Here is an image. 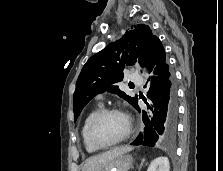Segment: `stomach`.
Returning a JSON list of instances; mask_svg holds the SVG:
<instances>
[{
	"mask_svg": "<svg viewBox=\"0 0 223 171\" xmlns=\"http://www.w3.org/2000/svg\"><path fill=\"white\" fill-rule=\"evenodd\" d=\"M132 162V156L124 153L117 156L112 162L103 167L100 171H129L132 166Z\"/></svg>",
	"mask_w": 223,
	"mask_h": 171,
	"instance_id": "obj_1",
	"label": "stomach"
}]
</instances>
